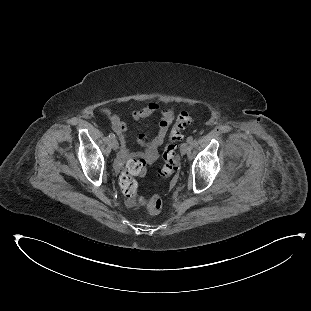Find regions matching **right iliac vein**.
Instances as JSON below:
<instances>
[{"label":"right iliac vein","instance_id":"1","mask_svg":"<svg viewBox=\"0 0 311 311\" xmlns=\"http://www.w3.org/2000/svg\"><path fill=\"white\" fill-rule=\"evenodd\" d=\"M111 147H112L113 150H117L118 149L119 143H118V141L116 139H112L111 140Z\"/></svg>","mask_w":311,"mask_h":311}]
</instances>
